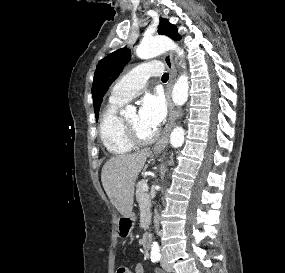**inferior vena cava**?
<instances>
[{"label":"inferior vena cava","instance_id":"inferior-vena-cava-1","mask_svg":"<svg viewBox=\"0 0 285 273\" xmlns=\"http://www.w3.org/2000/svg\"><path fill=\"white\" fill-rule=\"evenodd\" d=\"M154 226H155L156 232L158 234V231H159V215H158L157 211H155Z\"/></svg>","mask_w":285,"mask_h":273}]
</instances>
